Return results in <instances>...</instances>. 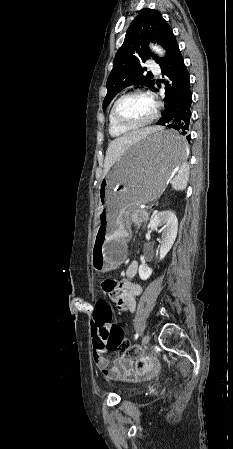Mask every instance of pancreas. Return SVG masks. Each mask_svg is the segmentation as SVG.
<instances>
[{"label":"pancreas","mask_w":233,"mask_h":449,"mask_svg":"<svg viewBox=\"0 0 233 449\" xmlns=\"http://www.w3.org/2000/svg\"><path fill=\"white\" fill-rule=\"evenodd\" d=\"M149 220V214L144 209L135 208L128 212L127 222L133 223L135 225H140L143 222Z\"/></svg>","instance_id":"pancreas-1"}]
</instances>
